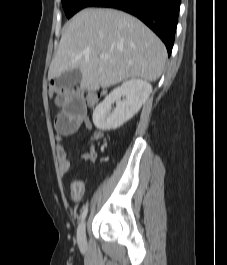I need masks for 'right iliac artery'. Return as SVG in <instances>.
<instances>
[{"label":"right iliac artery","mask_w":227,"mask_h":265,"mask_svg":"<svg viewBox=\"0 0 227 265\" xmlns=\"http://www.w3.org/2000/svg\"><path fill=\"white\" fill-rule=\"evenodd\" d=\"M87 212H88V207H85L82 214H81V222H83L85 220Z\"/></svg>","instance_id":"right-iliac-artery-1"}]
</instances>
